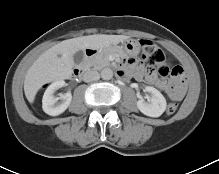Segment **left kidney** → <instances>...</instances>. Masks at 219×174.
<instances>
[{
    "mask_svg": "<svg viewBox=\"0 0 219 174\" xmlns=\"http://www.w3.org/2000/svg\"><path fill=\"white\" fill-rule=\"evenodd\" d=\"M145 91L150 94L148 102L144 99L137 101L138 109L146 116L159 117L166 110V99L164 96L154 87L146 86Z\"/></svg>",
    "mask_w": 219,
    "mask_h": 174,
    "instance_id": "1",
    "label": "left kidney"
}]
</instances>
